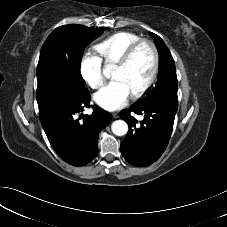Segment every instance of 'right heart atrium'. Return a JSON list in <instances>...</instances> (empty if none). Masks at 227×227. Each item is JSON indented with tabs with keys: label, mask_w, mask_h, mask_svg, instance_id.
Masks as SVG:
<instances>
[{
	"label": "right heart atrium",
	"mask_w": 227,
	"mask_h": 227,
	"mask_svg": "<svg viewBox=\"0 0 227 227\" xmlns=\"http://www.w3.org/2000/svg\"><path fill=\"white\" fill-rule=\"evenodd\" d=\"M79 70L84 81L93 89L100 88L104 83L102 62L98 56L85 52L80 59Z\"/></svg>",
	"instance_id": "obj_1"
}]
</instances>
